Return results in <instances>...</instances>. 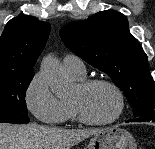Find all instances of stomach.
Here are the masks:
<instances>
[{"mask_svg":"<svg viewBox=\"0 0 155 149\" xmlns=\"http://www.w3.org/2000/svg\"><path fill=\"white\" fill-rule=\"evenodd\" d=\"M88 149H137V144L127 130L109 127L93 135Z\"/></svg>","mask_w":155,"mask_h":149,"instance_id":"0dacf381","label":"stomach"}]
</instances>
